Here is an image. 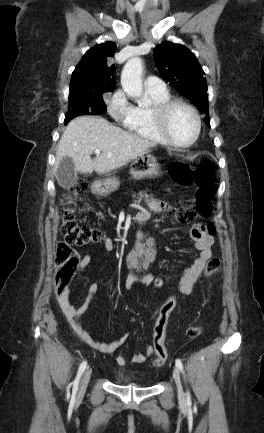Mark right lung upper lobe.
<instances>
[{
  "instance_id": "obj_1",
  "label": "right lung upper lobe",
  "mask_w": 264,
  "mask_h": 433,
  "mask_svg": "<svg viewBox=\"0 0 264 433\" xmlns=\"http://www.w3.org/2000/svg\"><path fill=\"white\" fill-rule=\"evenodd\" d=\"M116 50L112 42L92 47L75 67L70 83L69 98L91 96L113 91L115 66L110 58Z\"/></svg>"
}]
</instances>
